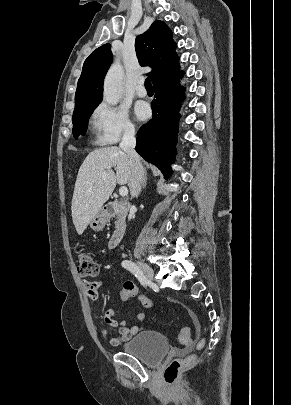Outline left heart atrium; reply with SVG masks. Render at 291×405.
I'll list each match as a JSON object with an SVG mask.
<instances>
[{"label": "left heart atrium", "mask_w": 291, "mask_h": 405, "mask_svg": "<svg viewBox=\"0 0 291 405\" xmlns=\"http://www.w3.org/2000/svg\"><path fill=\"white\" fill-rule=\"evenodd\" d=\"M135 112L138 118L145 119L148 117L150 110L147 104L141 103L137 105Z\"/></svg>", "instance_id": "obj_1"}]
</instances>
